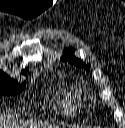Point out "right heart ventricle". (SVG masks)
I'll return each instance as SVG.
<instances>
[{"label": "right heart ventricle", "instance_id": "obj_1", "mask_svg": "<svg viewBox=\"0 0 125 128\" xmlns=\"http://www.w3.org/2000/svg\"><path fill=\"white\" fill-rule=\"evenodd\" d=\"M82 97L83 92L81 90L74 85H69L57 100L60 111L68 115L77 114L81 106Z\"/></svg>", "mask_w": 125, "mask_h": 128}]
</instances>
